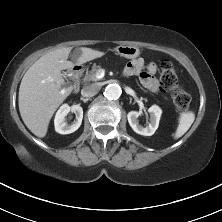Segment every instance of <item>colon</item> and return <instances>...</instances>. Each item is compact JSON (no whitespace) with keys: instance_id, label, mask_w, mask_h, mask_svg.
Wrapping results in <instances>:
<instances>
[{"instance_id":"1","label":"colon","mask_w":222,"mask_h":222,"mask_svg":"<svg viewBox=\"0 0 222 222\" xmlns=\"http://www.w3.org/2000/svg\"><path fill=\"white\" fill-rule=\"evenodd\" d=\"M160 81L164 91L170 93L177 110L186 111L190 105V96L178 83L176 69L168 60L160 63Z\"/></svg>"}]
</instances>
